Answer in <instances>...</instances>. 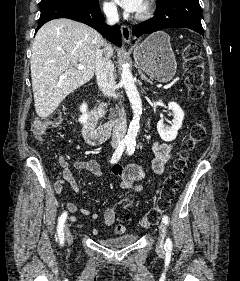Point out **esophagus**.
Listing matches in <instances>:
<instances>
[{"label":"esophagus","instance_id":"esophagus-1","mask_svg":"<svg viewBox=\"0 0 240 281\" xmlns=\"http://www.w3.org/2000/svg\"><path fill=\"white\" fill-rule=\"evenodd\" d=\"M121 33L123 41L127 44L131 41V29L128 25H122L121 26Z\"/></svg>","mask_w":240,"mask_h":281}]
</instances>
